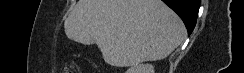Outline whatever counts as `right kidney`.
Wrapping results in <instances>:
<instances>
[{
  "mask_svg": "<svg viewBox=\"0 0 244 73\" xmlns=\"http://www.w3.org/2000/svg\"><path fill=\"white\" fill-rule=\"evenodd\" d=\"M126 73H154V66L151 64H137L129 68Z\"/></svg>",
  "mask_w": 244,
  "mask_h": 73,
  "instance_id": "obj_1",
  "label": "right kidney"
}]
</instances>
